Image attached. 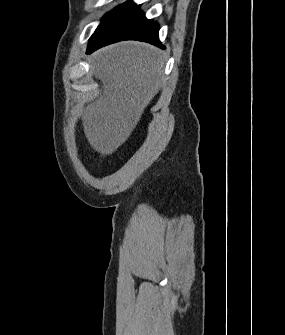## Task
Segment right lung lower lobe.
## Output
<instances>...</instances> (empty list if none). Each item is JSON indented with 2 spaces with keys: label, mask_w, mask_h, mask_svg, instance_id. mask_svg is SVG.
<instances>
[{
  "label": "right lung lower lobe",
  "mask_w": 285,
  "mask_h": 335,
  "mask_svg": "<svg viewBox=\"0 0 285 335\" xmlns=\"http://www.w3.org/2000/svg\"><path fill=\"white\" fill-rule=\"evenodd\" d=\"M139 7L129 0L115 8L91 36L87 53L122 40H139L164 48L159 41V25L146 19Z\"/></svg>",
  "instance_id": "1"
}]
</instances>
